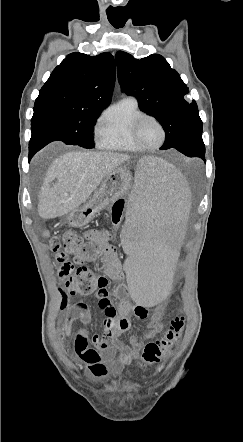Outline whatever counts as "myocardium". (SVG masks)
<instances>
[{"mask_svg": "<svg viewBox=\"0 0 243 442\" xmlns=\"http://www.w3.org/2000/svg\"><path fill=\"white\" fill-rule=\"evenodd\" d=\"M147 119L153 120L155 123H157V125L159 126V128L161 129V132H162V138H161L160 142L155 146L145 145L144 143L141 142L139 135H138V130H139L140 124L144 120H147ZM131 136H132V140L139 148H141L142 150H146V151H153V150L159 149L164 144L166 137H167V131H166L164 124L162 123V121L158 117H156L155 115H152V114L144 113V114L140 115L139 117H137L135 119V121L133 122L132 128H131Z\"/></svg>", "mask_w": 243, "mask_h": 442, "instance_id": "1", "label": "myocardium"}]
</instances>
